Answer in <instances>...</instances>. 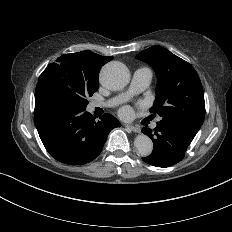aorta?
<instances>
[{
  "mask_svg": "<svg viewBox=\"0 0 232 232\" xmlns=\"http://www.w3.org/2000/svg\"><path fill=\"white\" fill-rule=\"evenodd\" d=\"M100 81L104 87L112 91L121 90L129 83L130 72L123 63L110 61L102 67ZM134 146L141 156H148L153 150L152 140L144 134L135 138Z\"/></svg>",
  "mask_w": 232,
  "mask_h": 232,
  "instance_id": "aorta-1",
  "label": "aorta"
}]
</instances>
